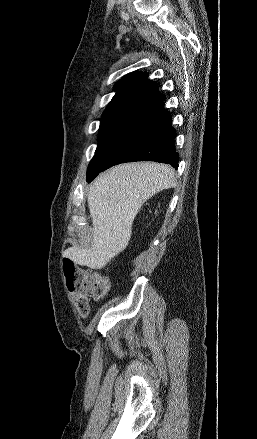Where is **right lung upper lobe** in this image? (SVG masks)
I'll use <instances>...</instances> for the list:
<instances>
[{
	"label": "right lung upper lobe",
	"instance_id": "obj_1",
	"mask_svg": "<svg viewBox=\"0 0 257 439\" xmlns=\"http://www.w3.org/2000/svg\"><path fill=\"white\" fill-rule=\"evenodd\" d=\"M146 72H135L119 80L112 101L106 107L103 117L131 120L151 106L164 100L157 83L146 79Z\"/></svg>",
	"mask_w": 257,
	"mask_h": 439
}]
</instances>
